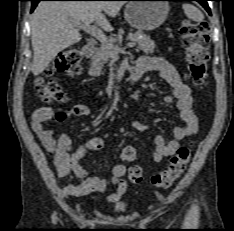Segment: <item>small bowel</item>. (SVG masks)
I'll list each match as a JSON object with an SVG mask.
<instances>
[{"mask_svg": "<svg viewBox=\"0 0 234 231\" xmlns=\"http://www.w3.org/2000/svg\"><path fill=\"white\" fill-rule=\"evenodd\" d=\"M137 64L147 67L148 70L160 72L164 80L173 89V98L166 96L164 99L166 102L175 105L183 121L182 126L173 129V138L169 142H166L163 135L155 137L153 159L155 162H160L176 153L182 139L198 132V119L192 109L191 90L183 82L181 75L173 64L160 56L141 57ZM146 96L154 98L155 94L148 93ZM89 114L90 109L84 104H76L71 109L58 111L48 107H40L32 113L31 128L40 138L49 156L53 158L64 194L82 197L91 193L102 192L107 189L109 184H113L116 189L108 195V201L115 203L127 190V184L123 179L126 174L125 165L116 164L113 166V175L110 181L97 176H90L88 171L81 165V160L88 152L100 151L104 148V139L99 136L89 138L77 150L72 151V140L68 135H61L56 138L52 129L45 125L50 120L62 122L69 116L83 117ZM132 126L139 132H145L149 129L147 124L140 121H133ZM69 174H74L78 179V183L68 182L67 177Z\"/></svg>", "mask_w": 234, "mask_h": 231, "instance_id": "c3829d8e", "label": "small bowel"}]
</instances>
